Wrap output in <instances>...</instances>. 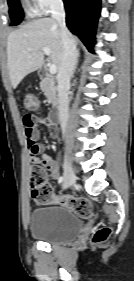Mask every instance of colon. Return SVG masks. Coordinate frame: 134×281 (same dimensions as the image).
<instances>
[{
    "label": "colon",
    "mask_w": 134,
    "mask_h": 281,
    "mask_svg": "<svg viewBox=\"0 0 134 281\" xmlns=\"http://www.w3.org/2000/svg\"><path fill=\"white\" fill-rule=\"evenodd\" d=\"M38 99L34 94H27L24 98V105L28 110L38 108ZM31 196L38 204H47L57 202L62 206L72 209L82 218H89L92 213L91 203L83 198L63 197L56 199L53 194L51 185L48 182L47 174L44 168L35 166L30 176ZM110 235L109 228H101L95 231L92 237L94 243H102L107 240Z\"/></svg>",
    "instance_id": "obj_1"
}]
</instances>
